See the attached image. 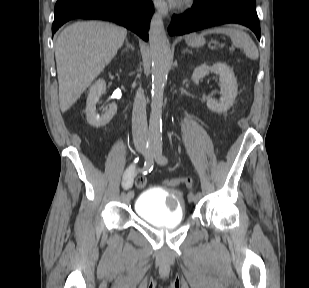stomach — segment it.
<instances>
[{"label": "stomach", "instance_id": "1", "mask_svg": "<svg viewBox=\"0 0 309 288\" xmlns=\"http://www.w3.org/2000/svg\"><path fill=\"white\" fill-rule=\"evenodd\" d=\"M185 41L187 45L192 47H200L204 45L205 40L202 36L196 35V34H190L185 37Z\"/></svg>", "mask_w": 309, "mask_h": 288}]
</instances>
